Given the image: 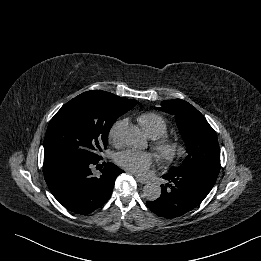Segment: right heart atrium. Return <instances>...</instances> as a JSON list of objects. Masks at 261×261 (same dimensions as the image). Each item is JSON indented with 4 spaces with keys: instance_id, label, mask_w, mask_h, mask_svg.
Returning <instances> with one entry per match:
<instances>
[{
    "instance_id": "right-heart-atrium-1",
    "label": "right heart atrium",
    "mask_w": 261,
    "mask_h": 261,
    "mask_svg": "<svg viewBox=\"0 0 261 261\" xmlns=\"http://www.w3.org/2000/svg\"><path fill=\"white\" fill-rule=\"evenodd\" d=\"M123 121L116 120L108 130V141L114 146H120L122 143Z\"/></svg>"
}]
</instances>
